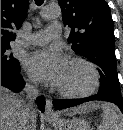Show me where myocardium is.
<instances>
[{"label":"myocardium","instance_id":"myocardium-1","mask_svg":"<svg viewBox=\"0 0 123 130\" xmlns=\"http://www.w3.org/2000/svg\"><path fill=\"white\" fill-rule=\"evenodd\" d=\"M69 63L79 64L87 68L92 76L91 84L89 85V87L81 91L66 90L58 86H56V91L61 96L69 99H80V98L89 97L92 94H94L100 85V75L95 65L90 61H88L87 59L78 56L70 58Z\"/></svg>","mask_w":123,"mask_h":130}]
</instances>
